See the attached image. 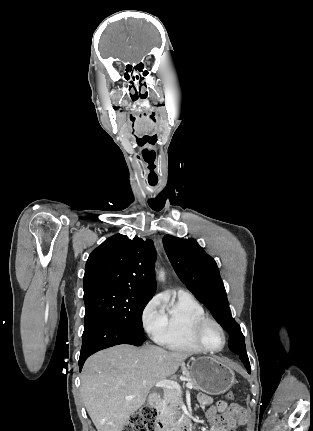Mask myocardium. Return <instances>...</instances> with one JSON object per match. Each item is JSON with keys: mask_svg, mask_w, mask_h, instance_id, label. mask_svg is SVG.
<instances>
[{"mask_svg": "<svg viewBox=\"0 0 313 431\" xmlns=\"http://www.w3.org/2000/svg\"><path fill=\"white\" fill-rule=\"evenodd\" d=\"M214 324L220 331L221 335H222V344L220 345V347L212 349L207 347L201 339V333L203 328L205 327V325L207 324ZM192 340L194 341V343L203 351L206 352H219L221 351L225 345H226V333L224 328L222 327V325L214 318L209 317V316H204L203 318L199 319L197 321V323L195 324L193 331H192Z\"/></svg>", "mask_w": 313, "mask_h": 431, "instance_id": "myocardium-1", "label": "myocardium"}]
</instances>
